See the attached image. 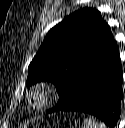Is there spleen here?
<instances>
[{
	"label": "spleen",
	"mask_w": 125,
	"mask_h": 128,
	"mask_svg": "<svg viewBox=\"0 0 125 128\" xmlns=\"http://www.w3.org/2000/svg\"><path fill=\"white\" fill-rule=\"evenodd\" d=\"M82 128H107L104 123L97 122L96 119L92 117H87L84 120Z\"/></svg>",
	"instance_id": "spleen-1"
}]
</instances>
